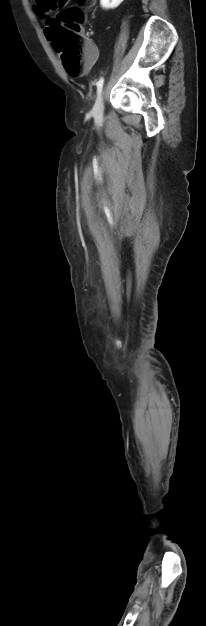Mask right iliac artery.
<instances>
[{
    "label": "right iliac artery",
    "mask_w": 206,
    "mask_h": 626,
    "mask_svg": "<svg viewBox=\"0 0 206 626\" xmlns=\"http://www.w3.org/2000/svg\"><path fill=\"white\" fill-rule=\"evenodd\" d=\"M103 83H104V78H103V77H101V78L99 79V81L97 82V84H96V85H97V92H98V95L101 93V90H102V87H103Z\"/></svg>",
    "instance_id": "1"
}]
</instances>
